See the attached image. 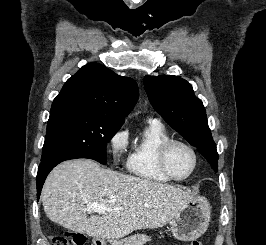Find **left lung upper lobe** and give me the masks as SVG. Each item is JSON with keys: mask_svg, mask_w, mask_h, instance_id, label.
<instances>
[{"mask_svg": "<svg viewBox=\"0 0 266 245\" xmlns=\"http://www.w3.org/2000/svg\"><path fill=\"white\" fill-rule=\"evenodd\" d=\"M149 101L165 121L197 148L212 168L218 170V153L207 123L205 108L192 86L177 76H145Z\"/></svg>", "mask_w": 266, "mask_h": 245, "instance_id": "5c2ea615", "label": "left lung upper lobe"}]
</instances>
